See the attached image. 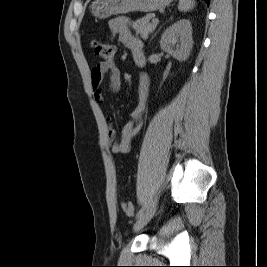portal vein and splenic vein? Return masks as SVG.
<instances>
[{
  "mask_svg": "<svg viewBox=\"0 0 267 267\" xmlns=\"http://www.w3.org/2000/svg\"><path fill=\"white\" fill-rule=\"evenodd\" d=\"M159 22V19L158 18H154V19H152V23L153 24H157Z\"/></svg>",
  "mask_w": 267,
  "mask_h": 267,
  "instance_id": "obj_1",
  "label": "portal vein and splenic vein"
}]
</instances>
